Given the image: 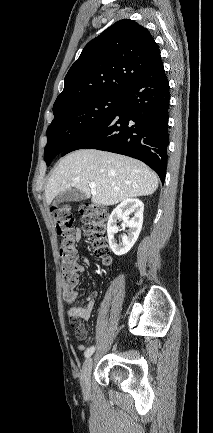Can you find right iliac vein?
I'll return each instance as SVG.
<instances>
[{"label":"right iliac vein","mask_w":213,"mask_h":433,"mask_svg":"<svg viewBox=\"0 0 213 433\" xmlns=\"http://www.w3.org/2000/svg\"><path fill=\"white\" fill-rule=\"evenodd\" d=\"M93 367V358L89 357L86 359L82 366L80 384L82 387V391L85 395H89L90 393V374Z\"/></svg>","instance_id":"right-iliac-vein-1"}]
</instances>
